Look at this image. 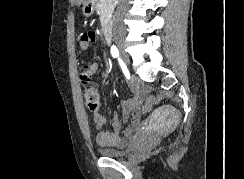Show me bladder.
<instances>
[{"label":"bladder","mask_w":244,"mask_h":179,"mask_svg":"<svg viewBox=\"0 0 244 179\" xmlns=\"http://www.w3.org/2000/svg\"><path fill=\"white\" fill-rule=\"evenodd\" d=\"M99 153L103 157H118L124 155L125 152L109 148H100Z\"/></svg>","instance_id":"1"}]
</instances>
